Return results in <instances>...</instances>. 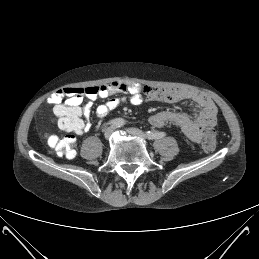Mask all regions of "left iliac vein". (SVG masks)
Here are the masks:
<instances>
[{
    "instance_id": "left-iliac-vein-1",
    "label": "left iliac vein",
    "mask_w": 259,
    "mask_h": 259,
    "mask_svg": "<svg viewBox=\"0 0 259 259\" xmlns=\"http://www.w3.org/2000/svg\"><path fill=\"white\" fill-rule=\"evenodd\" d=\"M127 132L132 136H136V137L141 138V139H146V135L141 130H139L137 128H128Z\"/></svg>"
}]
</instances>
